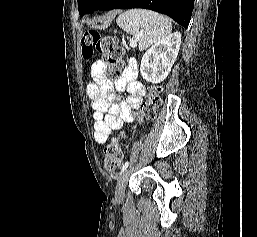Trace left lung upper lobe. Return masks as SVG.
I'll return each mask as SVG.
<instances>
[{
    "mask_svg": "<svg viewBox=\"0 0 257 237\" xmlns=\"http://www.w3.org/2000/svg\"><path fill=\"white\" fill-rule=\"evenodd\" d=\"M110 0H78V10L80 15L91 14L101 10Z\"/></svg>",
    "mask_w": 257,
    "mask_h": 237,
    "instance_id": "left-lung-upper-lobe-1",
    "label": "left lung upper lobe"
}]
</instances>
